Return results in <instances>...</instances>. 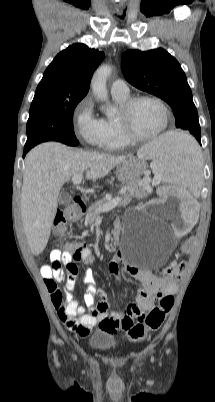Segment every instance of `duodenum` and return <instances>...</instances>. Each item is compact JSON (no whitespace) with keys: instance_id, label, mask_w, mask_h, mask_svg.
<instances>
[{"instance_id":"obj_1","label":"duodenum","mask_w":215,"mask_h":402,"mask_svg":"<svg viewBox=\"0 0 215 402\" xmlns=\"http://www.w3.org/2000/svg\"><path fill=\"white\" fill-rule=\"evenodd\" d=\"M85 212V205L81 198L75 197L66 209L67 217L72 221L79 220Z\"/></svg>"}]
</instances>
